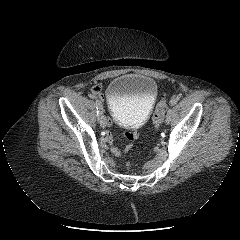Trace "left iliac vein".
Returning <instances> with one entry per match:
<instances>
[{
    "mask_svg": "<svg viewBox=\"0 0 240 240\" xmlns=\"http://www.w3.org/2000/svg\"><path fill=\"white\" fill-rule=\"evenodd\" d=\"M171 118H172V109H169L165 119L166 124H169V122L171 121Z\"/></svg>",
    "mask_w": 240,
    "mask_h": 240,
    "instance_id": "left-iliac-vein-1",
    "label": "left iliac vein"
}]
</instances>
